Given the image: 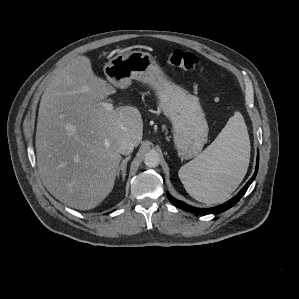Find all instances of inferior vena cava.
<instances>
[{"label": "inferior vena cava", "instance_id": "inferior-vena-cava-1", "mask_svg": "<svg viewBox=\"0 0 299 299\" xmlns=\"http://www.w3.org/2000/svg\"><path fill=\"white\" fill-rule=\"evenodd\" d=\"M135 146L136 144L133 141L123 140L118 146V152L122 155H129L132 153Z\"/></svg>", "mask_w": 299, "mask_h": 299}]
</instances>
